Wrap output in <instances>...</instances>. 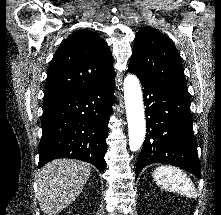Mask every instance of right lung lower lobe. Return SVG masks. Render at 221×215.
Returning a JSON list of instances; mask_svg holds the SVG:
<instances>
[{"instance_id": "obj_1", "label": "right lung lower lobe", "mask_w": 221, "mask_h": 215, "mask_svg": "<svg viewBox=\"0 0 221 215\" xmlns=\"http://www.w3.org/2000/svg\"><path fill=\"white\" fill-rule=\"evenodd\" d=\"M114 87L113 77L69 99L43 107L38 168L56 158H71L104 171Z\"/></svg>"}]
</instances>
